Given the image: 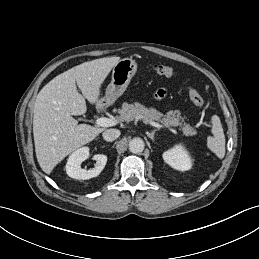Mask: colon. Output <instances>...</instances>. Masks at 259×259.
<instances>
[{
  "label": "colon",
  "mask_w": 259,
  "mask_h": 259,
  "mask_svg": "<svg viewBox=\"0 0 259 259\" xmlns=\"http://www.w3.org/2000/svg\"><path fill=\"white\" fill-rule=\"evenodd\" d=\"M154 72L162 77H171L174 75V70L172 67L164 64H156L154 65ZM188 95L190 100L199 108H204L206 106V101L200 92L194 88L189 87Z\"/></svg>",
  "instance_id": "colon-1"
}]
</instances>
